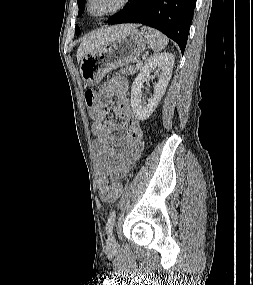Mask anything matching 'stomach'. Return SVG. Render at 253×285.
Masks as SVG:
<instances>
[{"label":"stomach","mask_w":253,"mask_h":285,"mask_svg":"<svg viewBox=\"0 0 253 285\" xmlns=\"http://www.w3.org/2000/svg\"><path fill=\"white\" fill-rule=\"evenodd\" d=\"M147 43L142 32L133 29L84 55L80 62V75L84 84L96 85L109 71L135 61L145 50Z\"/></svg>","instance_id":"obj_1"}]
</instances>
